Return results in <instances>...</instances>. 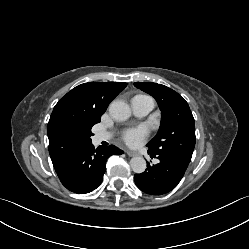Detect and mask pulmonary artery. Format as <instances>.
<instances>
[{
	"label": "pulmonary artery",
	"instance_id": "e3ab8cb5",
	"mask_svg": "<svg viewBox=\"0 0 249 249\" xmlns=\"http://www.w3.org/2000/svg\"><path fill=\"white\" fill-rule=\"evenodd\" d=\"M131 108L135 115L144 116L154 108V100L146 95L135 96L131 100ZM109 136V133H100L96 138L98 141H103L108 139Z\"/></svg>",
	"mask_w": 249,
	"mask_h": 249
}]
</instances>
